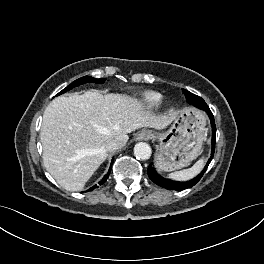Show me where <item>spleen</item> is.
I'll list each match as a JSON object with an SVG mask.
<instances>
[{"instance_id":"3e777b00","label":"spleen","mask_w":264,"mask_h":264,"mask_svg":"<svg viewBox=\"0 0 264 264\" xmlns=\"http://www.w3.org/2000/svg\"><path fill=\"white\" fill-rule=\"evenodd\" d=\"M204 163L205 159L201 158L191 168L170 173L168 177L177 181L190 180L200 173V171L204 167Z\"/></svg>"}]
</instances>
